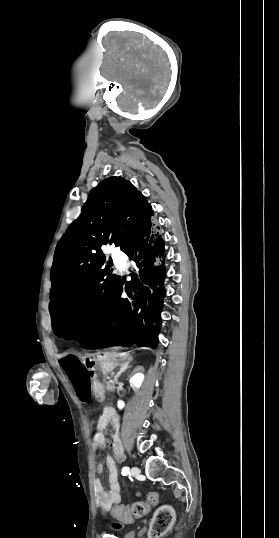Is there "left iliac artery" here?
Listing matches in <instances>:
<instances>
[{
    "mask_svg": "<svg viewBox=\"0 0 279 538\" xmlns=\"http://www.w3.org/2000/svg\"><path fill=\"white\" fill-rule=\"evenodd\" d=\"M121 473H122L123 476L128 475L129 474V468L128 467H123Z\"/></svg>",
    "mask_w": 279,
    "mask_h": 538,
    "instance_id": "obj_1",
    "label": "left iliac artery"
}]
</instances>
